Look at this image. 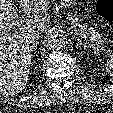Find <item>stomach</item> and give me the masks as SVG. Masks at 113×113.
<instances>
[{
  "label": "stomach",
  "instance_id": "1",
  "mask_svg": "<svg viewBox=\"0 0 113 113\" xmlns=\"http://www.w3.org/2000/svg\"><path fill=\"white\" fill-rule=\"evenodd\" d=\"M77 0H60V3L64 6V7H72L73 5H75Z\"/></svg>",
  "mask_w": 113,
  "mask_h": 113
}]
</instances>
